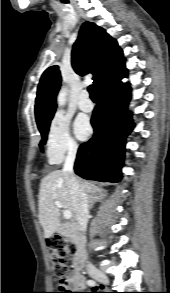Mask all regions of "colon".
I'll return each instance as SVG.
<instances>
[{"label": "colon", "mask_w": 170, "mask_h": 293, "mask_svg": "<svg viewBox=\"0 0 170 293\" xmlns=\"http://www.w3.org/2000/svg\"><path fill=\"white\" fill-rule=\"evenodd\" d=\"M47 245L51 249L50 260L57 279V292L54 293H67L71 285L66 277L69 268L68 259L74 253V245L68 239L59 236L49 238Z\"/></svg>", "instance_id": "5ec220e1"}]
</instances>
